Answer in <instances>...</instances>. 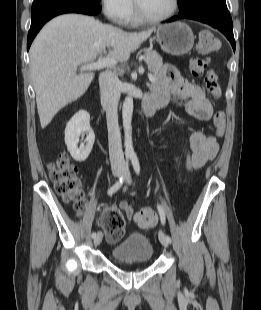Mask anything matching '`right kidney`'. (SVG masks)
Instances as JSON below:
<instances>
[{"instance_id":"obj_1","label":"right kidney","mask_w":261,"mask_h":310,"mask_svg":"<svg viewBox=\"0 0 261 310\" xmlns=\"http://www.w3.org/2000/svg\"><path fill=\"white\" fill-rule=\"evenodd\" d=\"M87 134L85 139L86 144H81L78 147L79 138ZM95 141V134L90 127V115L87 111H78L67 123L65 128V144L72 158L78 162L85 161Z\"/></svg>"}]
</instances>
